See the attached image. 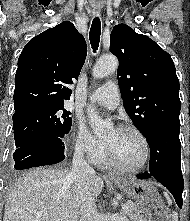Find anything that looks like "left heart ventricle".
<instances>
[{"label": "left heart ventricle", "instance_id": "1", "mask_svg": "<svg viewBox=\"0 0 190 221\" xmlns=\"http://www.w3.org/2000/svg\"><path fill=\"white\" fill-rule=\"evenodd\" d=\"M103 141L108 144L118 160L124 165L135 167L142 163L144 146L134 132L112 128L103 137Z\"/></svg>", "mask_w": 190, "mask_h": 221}]
</instances>
